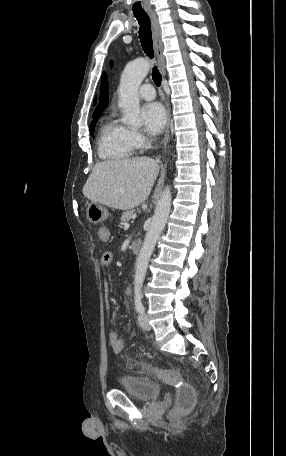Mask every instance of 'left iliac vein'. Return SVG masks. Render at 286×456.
<instances>
[{"instance_id":"1","label":"left iliac vein","mask_w":286,"mask_h":456,"mask_svg":"<svg viewBox=\"0 0 286 456\" xmlns=\"http://www.w3.org/2000/svg\"><path fill=\"white\" fill-rule=\"evenodd\" d=\"M138 322L142 329H144L146 331L151 330V326L148 322V317L146 314L140 313V315L138 316Z\"/></svg>"}]
</instances>
